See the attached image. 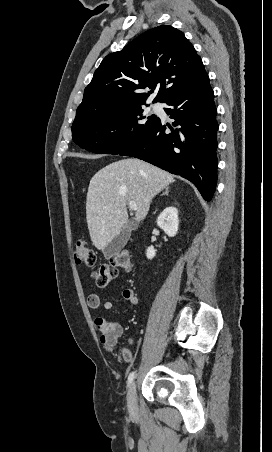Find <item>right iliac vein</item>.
Masks as SVG:
<instances>
[{
    "label": "right iliac vein",
    "mask_w": 272,
    "mask_h": 452,
    "mask_svg": "<svg viewBox=\"0 0 272 452\" xmlns=\"http://www.w3.org/2000/svg\"><path fill=\"white\" fill-rule=\"evenodd\" d=\"M128 410L132 415L137 414V399H136V382H132L127 394Z\"/></svg>",
    "instance_id": "63e3f726"
}]
</instances>
